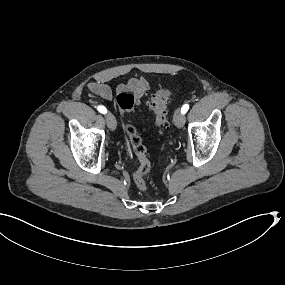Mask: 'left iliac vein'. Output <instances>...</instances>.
I'll return each mask as SVG.
<instances>
[{"instance_id": "4c4485c4", "label": "left iliac vein", "mask_w": 285, "mask_h": 285, "mask_svg": "<svg viewBox=\"0 0 285 285\" xmlns=\"http://www.w3.org/2000/svg\"><path fill=\"white\" fill-rule=\"evenodd\" d=\"M174 123L178 128H182L186 122L185 116L182 114V112L179 109H176L174 112Z\"/></svg>"}]
</instances>
